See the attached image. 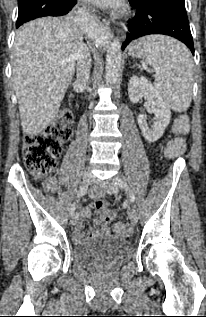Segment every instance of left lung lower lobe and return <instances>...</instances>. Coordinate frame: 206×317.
I'll list each match as a JSON object with an SVG mask.
<instances>
[{
  "mask_svg": "<svg viewBox=\"0 0 206 317\" xmlns=\"http://www.w3.org/2000/svg\"><path fill=\"white\" fill-rule=\"evenodd\" d=\"M129 3L136 9V15L127 23V38L122 49L141 36L164 34L182 41L194 54L185 5L167 0H129Z\"/></svg>",
  "mask_w": 206,
  "mask_h": 317,
  "instance_id": "0a47b994",
  "label": "left lung lower lobe"
}]
</instances>
